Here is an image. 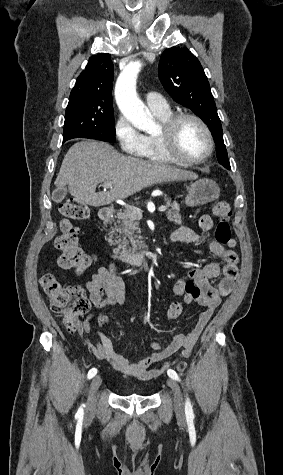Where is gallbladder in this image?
<instances>
[{
  "mask_svg": "<svg viewBox=\"0 0 283 475\" xmlns=\"http://www.w3.org/2000/svg\"><path fill=\"white\" fill-rule=\"evenodd\" d=\"M65 196H67V188H62V190H54L52 194V200L53 202H56V204H60V202L64 200Z\"/></svg>",
  "mask_w": 283,
  "mask_h": 475,
  "instance_id": "obj_1",
  "label": "gallbladder"
}]
</instances>
